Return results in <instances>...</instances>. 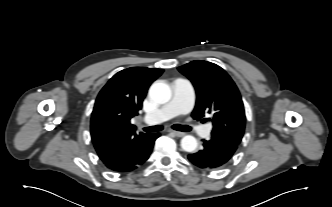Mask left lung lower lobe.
<instances>
[{"instance_id":"1","label":"left lung lower lobe","mask_w":332,"mask_h":207,"mask_svg":"<svg viewBox=\"0 0 332 207\" xmlns=\"http://www.w3.org/2000/svg\"><path fill=\"white\" fill-rule=\"evenodd\" d=\"M237 145L221 138L211 137L203 140V148L196 153L189 154V161L199 169L211 171L223 167L234 155Z\"/></svg>"}]
</instances>
